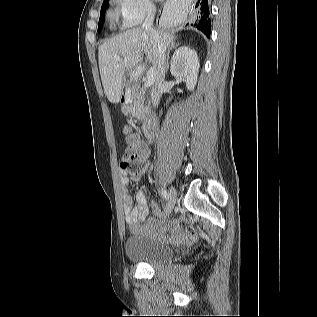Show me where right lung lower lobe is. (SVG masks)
Masks as SVG:
<instances>
[{
  "mask_svg": "<svg viewBox=\"0 0 317 317\" xmlns=\"http://www.w3.org/2000/svg\"><path fill=\"white\" fill-rule=\"evenodd\" d=\"M193 22L191 25L210 37V9L208 0H194Z\"/></svg>",
  "mask_w": 317,
  "mask_h": 317,
  "instance_id": "right-lung-lower-lobe-1",
  "label": "right lung lower lobe"
}]
</instances>
